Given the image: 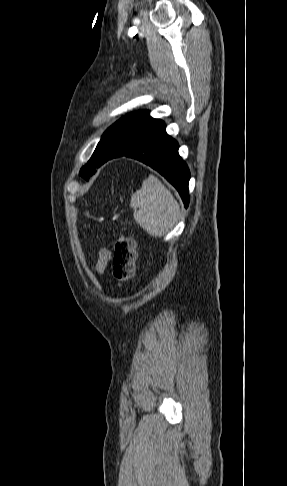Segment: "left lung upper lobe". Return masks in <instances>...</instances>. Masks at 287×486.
<instances>
[{
    "label": "left lung upper lobe",
    "instance_id": "5c2ea615",
    "mask_svg": "<svg viewBox=\"0 0 287 486\" xmlns=\"http://www.w3.org/2000/svg\"><path fill=\"white\" fill-rule=\"evenodd\" d=\"M163 125V121L153 119L145 110L122 117L105 131L79 175L88 180L106 161L140 148Z\"/></svg>",
    "mask_w": 287,
    "mask_h": 486
}]
</instances>
